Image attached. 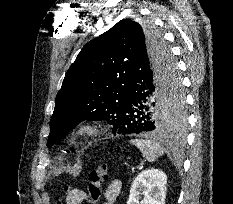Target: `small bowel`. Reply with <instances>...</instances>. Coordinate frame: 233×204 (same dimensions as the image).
<instances>
[{
	"label": "small bowel",
	"instance_id": "obj_1",
	"mask_svg": "<svg viewBox=\"0 0 233 204\" xmlns=\"http://www.w3.org/2000/svg\"><path fill=\"white\" fill-rule=\"evenodd\" d=\"M120 192L121 181L117 179L111 180L105 188L104 201L102 204H115ZM85 202H90V200L86 199Z\"/></svg>",
	"mask_w": 233,
	"mask_h": 204
}]
</instances>
